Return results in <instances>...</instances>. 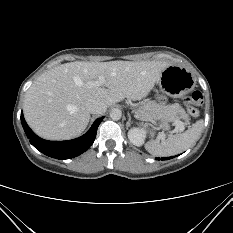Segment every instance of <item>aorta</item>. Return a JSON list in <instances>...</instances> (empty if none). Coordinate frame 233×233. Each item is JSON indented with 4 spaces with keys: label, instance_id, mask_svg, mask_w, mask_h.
<instances>
[{
    "label": "aorta",
    "instance_id": "1",
    "mask_svg": "<svg viewBox=\"0 0 233 233\" xmlns=\"http://www.w3.org/2000/svg\"><path fill=\"white\" fill-rule=\"evenodd\" d=\"M121 116H122V112L118 108L112 109L110 112V117L112 120H119Z\"/></svg>",
    "mask_w": 233,
    "mask_h": 233
}]
</instances>
